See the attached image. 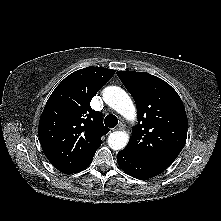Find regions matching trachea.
Here are the masks:
<instances>
[{
    "mask_svg": "<svg viewBox=\"0 0 221 221\" xmlns=\"http://www.w3.org/2000/svg\"><path fill=\"white\" fill-rule=\"evenodd\" d=\"M104 123L109 128H114L118 124V119L116 116L110 114L105 117Z\"/></svg>",
    "mask_w": 221,
    "mask_h": 221,
    "instance_id": "obj_1",
    "label": "trachea"
}]
</instances>
